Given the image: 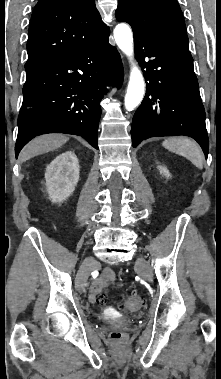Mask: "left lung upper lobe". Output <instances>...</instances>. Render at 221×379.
<instances>
[{
	"label": "left lung upper lobe",
	"instance_id": "left-lung-upper-lobe-1",
	"mask_svg": "<svg viewBox=\"0 0 221 379\" xmlns=\"http://www.w3.org/2000/svg\"><path fill=\"white\" fill-rule=\"evenodd\" d=\"M115 15L153 38L188 49L185 22L176 0H118Z\"/></svg>",
	"mask_w": 221,
	"mask_h": 379
}]
</instances>
